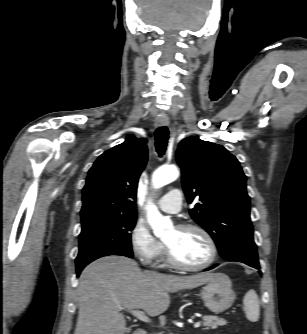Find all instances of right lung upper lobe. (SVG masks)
Returning a JSON list of instances; mask_svg holds the SVG:
<instances>
[{
    "mask_svg": "<svg viewBox=\"0 0 307 334\" xmlns=\"http://www.w3.org/2000/svg\"><path fill=\"white\" fill-rule=\"evenodd\" d=\"M147 156L146 141L133 135L99 156L83 188L81 217L136 216V189Z\"/></svg>",
    "mask_w": 307,
    "mask_h": 334,
    "instance_id": "obj_1",
    "label": "right lung upper lobe"
}]
</instances>
